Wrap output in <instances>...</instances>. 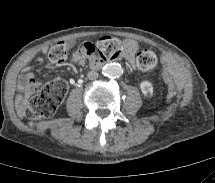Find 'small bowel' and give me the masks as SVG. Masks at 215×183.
Listing matches in <instances>:
<instances>
[{
    "label": "small bowel",
    "instance_id": "small-bowel-1",
    "mask_svg": "<svg viewBox=\"0 0 215 183\" xmlns=\"http://www.w3.org/2000/svg\"><path fill=\"white\" fill-rule=\"evenodd\" d=\"M137 48L138 45L134 40L125 41L123 57L131 64L134 62ZM85 57V54L82 51L78 50L74 55V61L81 62L85 59ZM40 85L41 81L34 76L30 69H27L23 72L18 81L19 94H17L16 96V103L20 110L23 109L29 97L37 91Z\"/></svg>",
    "mask_w": 215,
    "mask_h": 183
}]
</instances>
